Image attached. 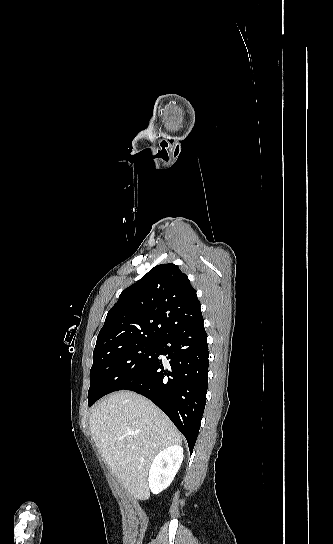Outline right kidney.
Wrapping results in <instances>:
<instances>
[{
  "label": "right kidney",
  "instance_id": "ca27d5eb",
  "mask_svg": "<svg viewBox=\"0 0 333 544\" xmlns=\"http://www.w3.org/2000/svg\"><path fill=\"white\" fill-rule=\"evenodd\" d=\"M183 448L169 446L154 458L149 470V488L153 494L166 489L173 481L183 461Z\"/></svg>",
  "mask_w": 333,
  "mask_h": 544
}]
</instances>
